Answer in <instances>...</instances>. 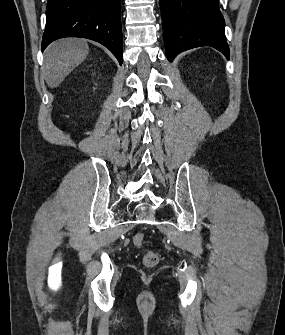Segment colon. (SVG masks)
<instances>
[{"instance_id": "colon-1", "label": "colon", "mask_w": 285, "mask_h": 335, "mask_svg": "<svg viewBox=\"0 0 285 335\" xmlns=\"http://www.w3.org/2000/svg\"><path fill=\"white\" fill-rule=\"evenodd\" d=\"M134 245L138 248L143 247L146 242V236L143 233H137L133 238ZM159 262V255L154 251H148L143 257V263L146 267H154Z\"/></svg>"}]
</instances>
